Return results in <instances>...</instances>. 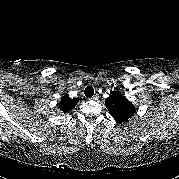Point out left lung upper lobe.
<instances>
[{"mask_svg":"<svg viewBox=\"0 0 179 179\" xmlns=\"http://www.w3.org/2000/svg\"><path fill=\"white\" fill-rule=\"evenodd\" d=\"M105 106L118 123L127 121L136 112L134 105L117 91L111 92V95L105 100Z\"/></svg>","mask_w":179,"mask_h":179,"instance_id":"obj_1","label":"left lung upper lobe"}]
</instances>
